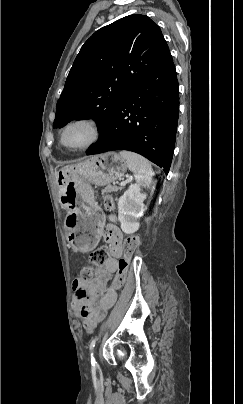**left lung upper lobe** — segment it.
I'll return each mask as SVG.
<instances>
[{
    "label": "left lung upper lobe",
    "instance_id": "1",
    "mask_svg": "<svg viewBox=\"0 0 243 404\" xmlns=\"http://www.w3.org/2000/svg\"><path fill=\"white\" fill-rule=\"evenodd\" d=\"M169 55L160 28L145 15H129L99 29L74 61L53 127L93 119L101 130L129 92Z\"/></svg>",
    "mask_w": 243,
    "mask_h": 404
}]
</instances>
